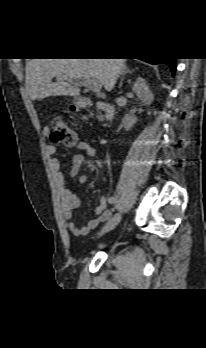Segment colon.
<instances>
[{"mask_svg":"<svg viewBox=\"0 0 206 348\" xmlns=\"http://www.w3.org/2000/svg\"><path fill=\"white\" fill-rule=\"evenodd\" d=\"M49 138L53 142H60L68 145H73L77 141L75 131L57 115L53 116L51 120Z\"/></svg>","mask_w":206,"mask_h":348,"instance_id":"1","label":"colon"}]
</instances>
